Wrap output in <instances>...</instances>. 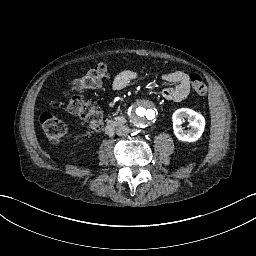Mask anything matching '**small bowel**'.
I'll use <instances>...</instances> for the list:
<instances>
[{"label": "small bowel", "instance_id": "c3829d8e", "mask_svg": "<svg viewBox=\"0 0 256 256\" xmlns=\"http://www.w3.org/2000/svg\"><path fill=\"white\" fill-rule=\"evenodd\" d=\"M136 77V71L123 70L114 77L112 81V87L118 91L123 90L127 88ZM162 78L164 81L170 84H174V87H167L161 91V96L163 98L175 102H180L189 95L191 81L185 72L174 71L164 74Z\"/></svg>", "mask_w": 256, "mask_h": 256}]
</instances>
